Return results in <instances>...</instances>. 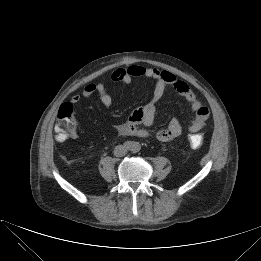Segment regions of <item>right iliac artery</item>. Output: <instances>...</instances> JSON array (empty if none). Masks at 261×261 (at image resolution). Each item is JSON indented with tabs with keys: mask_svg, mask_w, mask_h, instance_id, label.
<instances>
[{
	"mask_svg": "<svg viewBox=\"0 0 261 261\" xmlns=\"http://www.w3.org/2000/svg\"><path fill=\"white\" fill-rule=\"evenodd\" d=\"M124 146L127 148V149H130L132 147V143L130 141H127L124 143Z\"/></svg>",
	"mask_w": 261,
	"mask_h": 261,
	"instance_id": "obj_1",
	"label": "right iliac artery"
}]
</instances>
